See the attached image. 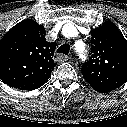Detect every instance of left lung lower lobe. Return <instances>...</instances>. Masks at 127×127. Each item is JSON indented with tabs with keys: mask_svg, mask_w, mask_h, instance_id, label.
<instances>
[{
	"mask_svg": "<svg viewBox=\"0 0 127 127\" xmlns=\"http://www.w3.org/2000/svg\"><path fill=\"white\" fill-rule=\"evenodd\" d=\"M92 86V88L100 93H107L112 91L114 88L104 85V84H98V83H94V84H90Z\"/></svg>",
	"mask_w": 127,
	"mask_h": 127,
	"instance_id": "0a47b994",
	"label": "left lung lower lobe"
}]
</instances>
